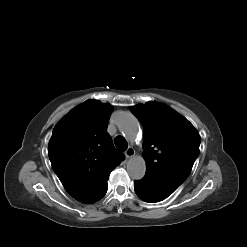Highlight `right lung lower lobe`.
I'll return each instance as SVG.
<instances>
[{
    "label": "right lung lower lobe",
    "mask_w": 247,
    "mask_h": 247,
    "mask_svg": "<svg viewBox=\"0 0 247 247\" xmlns=\"http://www.w3.org/2000/svg\"><path fill=\"white\" fill-rule=\"evenodd\" d=\"M108 189L107 181L91 196L89 197L84 203H93L96 202L104 197Z\"/></svg>",
    "instance_id": "right-lung-lower-lobe-1"
}]
</instances>
